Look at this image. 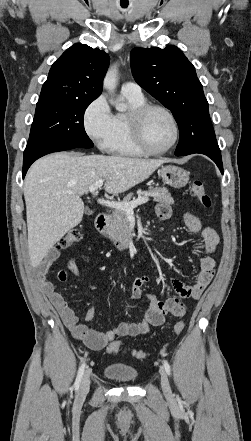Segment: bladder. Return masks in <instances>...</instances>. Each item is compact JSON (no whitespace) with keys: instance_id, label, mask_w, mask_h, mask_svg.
<instances>
[{"instance_id":"bladder-1","label":"bladder","mask_w":251,"mask_h":441,"mask_svg":"<svg viewBox=\"0 0 251 441\" xmlns=\"http://www.w3.org/2000/svg\"><path fill=\"white\" fill-rule=\"evenodd\" d=\"M104 376L118 383H134L137 381L139 373L130 366L122 364H110L103 370Z\"/></svg>"}]
</instances>
